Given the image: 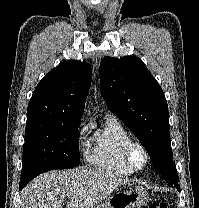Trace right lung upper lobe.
<instances>
[{"mask_svg":"<svg viewBox=\"0 0 199 208\" xmlns=\"http://www.w3.org/2000/svg\"><path fill=\"white\" fill-rule=\"evenodd\" d=\"M91 80L92 69L88 63L78 60L60 63L35 88L27 118L80 121Z\"/></svg>","mask_w":199,"mask_h":208,"instance_id":"right-lung-upper-lobe-1","label":"right lung upper lobe"}]
</instances>
